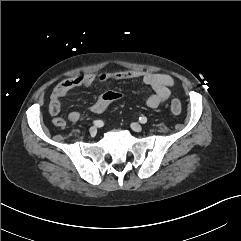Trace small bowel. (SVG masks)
Segmentation results:
<instances>
[{"label": "small bowel", "mask_w": 241, "mask_h": 241, "mask_svg": "<svg viewBox=\"0 0 241 241\" xmlns=\"http://www.w3.org/2000/svg\"><path fill=\"white\" fill-rule=\"evenodd\" d=\"M132 79H141L144 84L153 89V93L147 99V105L151 109H156L167 101L171 94V87L174 85V79L169 74L154 73L140 69L75 75L59 82L52 91L49 102V113L53 117V124L57 127L65 126V120L59 116L61 111V98H63L70 90L77 87H90L95 82L106 83L115 80ZM112 102L113 101H106L101 95L90 107V111L94 114H101ZM80 117L81 115L79 112L72 111L68 114V121L76 123L80 120Z\"/></svg>", "instance_id": "small-bowel-1"}]
</instances>
